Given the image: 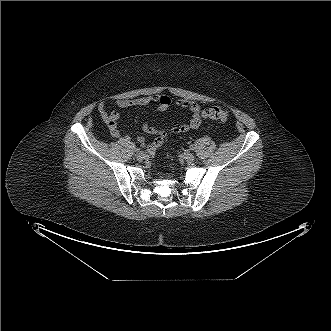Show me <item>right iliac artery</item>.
I'll return each instance as SVG.
<instances>
[{"mask_svg":"<svg viewBox=\"0 0 331 331\" xmlns=\"http://www.w3.org/2000/svg\"><path fill=\"white\" fill-rule=\"evenodd\" d=\"M135 152H136V153H141V152H142V148H141V147L136 148V149H135Z\"/></svg>","mask_w":331,"mask_h":331,"instance_id":"1","label":"right iliac artery"}]
</instances>
